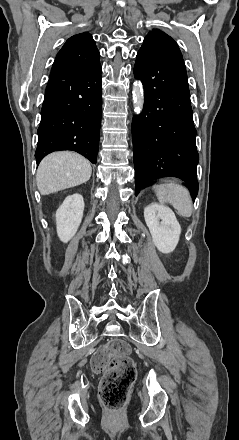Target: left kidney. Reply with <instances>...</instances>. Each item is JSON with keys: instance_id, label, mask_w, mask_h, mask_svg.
<instances>
[{"instance_id": "5707ae66", "label": "left kidney", "mask_w": 239, "mask_h": 440, "mask_svg": "<svg viewBox=\"0 0 239 440\" xmlns=\"http://www.w3.org/2000/svg\"><path fill=\"white\" fill-rule=\"evenodd\" d=\"M144 218L157 250L162 254L173 252L181 234L174 212L162 204H149L144 210Z\"/></svg>"}]
</instances>
